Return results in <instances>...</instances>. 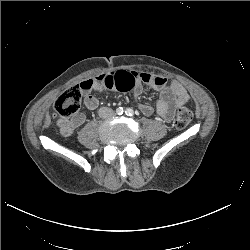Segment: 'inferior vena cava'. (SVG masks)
Listing matches in <instances>:
<instances>
[{
    "label": "inferior vena cava",
    "instance_id": "1",
    "mask_svg": "<svg viewBox=\"0 0 250 250\" xmlns=\"http://www.w3.org/2000/svg\"><path fill=\"white\" fill-rule=\"evenodd\" d=\"M114 115V111L111 108L101 107L99 109V116L102 118H109Z\"/></svg>",
    "mask_w": 250,
    "mask_h": 250
}]
</instances>
